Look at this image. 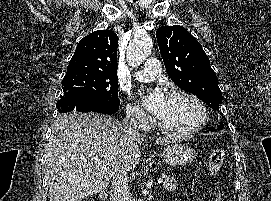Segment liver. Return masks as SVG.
I'll use <instances>...</instances> for the list:
<instances>
[{"mask_svg":"<svg viewBox=\"0 0 271 201\" xmlns=\"http://www.w3.org/2000/svg\"><path fill=\"white\" fill-rule=\"evenodd\" d=\"M170 138L155 144L166 145ZM144 137L129 136L117 119L97 114L58 115L47 145L50 201H82L106 189L111 178L136 167ZM95 159L103 160L102 164Z\"/></svg>","mask_w":271,"mask_h":201,"instance_id":"6515ba94","label":"liver"}]
</instances>
